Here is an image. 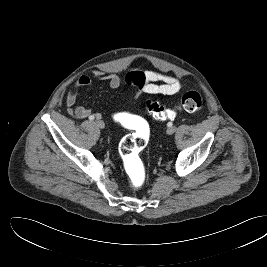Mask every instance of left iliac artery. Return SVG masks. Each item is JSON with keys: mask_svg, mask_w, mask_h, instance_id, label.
Here are the masks:
<instances>
[{"mask_svg": "<svg viewBox=\"0 0 267 267\" xmlns=\"http://www.w3.org/2000/svg\"><path fill=\"white\" fill-rule=\"evenodd\" d=\"M167 126L168 127H172L173 126V123L172 122H168Z\"/></svg>", "mask_w": 267, "mask_h": 267, "instance_id": "44dca946", "label": "left iliac artery"}]
</instances>
